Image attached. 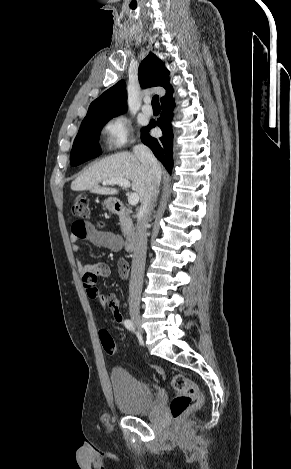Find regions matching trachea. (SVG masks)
Here are the masks:
<instances>
[{"instance_id":"trachea-1","label":"trachea","mask_w":291,"mask_h":469,"mask_svg":"<svg viewBox=\"0 0 291 469\" xmlns=\"http://www.w3.org/2000/svg\"><path fill=\"white\" fill-rule=\"evenodd\" d=\"M152 107L160 108L159 96L158 95L153 96V98H152Z\"/></svg>"}]
</instances>
